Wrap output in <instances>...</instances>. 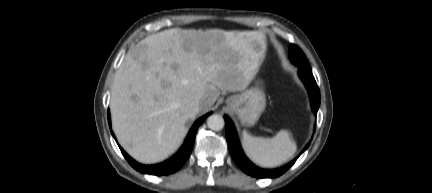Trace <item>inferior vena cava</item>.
Listing matches in <instances>:
<instances>
[{"mask_svg":"<svg viewBox=\"0 0 432 193\" xmlns=\"http://www.w3.org/2000/svg\"><path fill=\"white\" fill-rule=\"evenodd\" d=\"M190 106L192 108V110H194L195 112L199 111L200 108V100L199 99H194L191 101Z\"/></svg>","mask_w":432,"mask_h":193,"instance_id":"1","label":"inferior vena cava"}]
</instances>
